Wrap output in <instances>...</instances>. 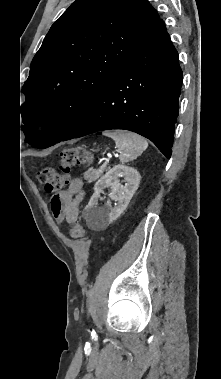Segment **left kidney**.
<instances>
[{"label":"left kidney","mask_w":221,"mask_h":379,"mask_svg":"<svg viewBox=\"0 0 221 379\" xmlns=\"http://www.w3.org/2000/svg\"><path fill=\"white\" fill-rule=\"evenodd\" d=\"M119 177L125 178V186L120 183ZM140 179L141 176L136 169L120 164L114 166L101 177L95 183L94 194L84 209V216L88 227L92 229L105 228L120 217L138 189ZM104 187L112 188L109 197L117 202L113 208L110 202H107L105 207H97L98 197Z\"/></svg>","instance_id":"1"}]
</instances>
